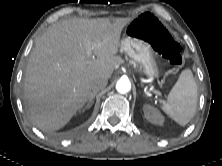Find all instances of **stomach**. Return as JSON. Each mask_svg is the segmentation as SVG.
I'll use <instances>...</instances> for the list:
<instances>
[{
    "label": "stomach",
    "instance_id": "1",
    "mask_svg": "<svg viewBox=\"0 0 222 166\" xmlns=\"http://www.w3.org/2000/svg\"><path fill=\"white\" fill-rule=\"evenodd\" d=\"M120 49L137 64L148 78L159 76V69L152 48L144 40L127 35L121 40Z\"/></svg>",
    "mask_w": 222,
    "mask_h": 166
}]
</instances>
